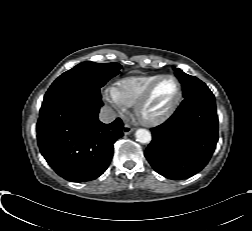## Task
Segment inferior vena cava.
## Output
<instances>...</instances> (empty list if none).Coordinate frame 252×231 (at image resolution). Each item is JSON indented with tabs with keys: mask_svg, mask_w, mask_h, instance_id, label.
<instances>
[{
	"mask_svg": "<svg viewBox=\"0 0 252 231\" xmlns=\"http://www.w3.org/2000/svg\"><path fill=\"white\" fill-rule=\"evenodd\" d=\"M116 116V112L110 106L105 105L100 110L99 119L103 123H111Z\"/></svg>",
	"mask_w": 252,
	"mask_h": 231,
	"instance_id": "obj_1",
	"label": "inferior vena cava"
}]
</instances>
